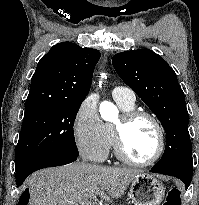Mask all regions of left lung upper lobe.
<instances>
[{
  "label": "left lung upper lobe",
  "mask_w": 199,
  "mask_h": 205,
  "mask_svg": "<svg viewBox=\"0 0 199 205\" xmlns=\"http://www.w3.org/2000/svg\"><path fill=\"white\" fill-rule=\"evenodd\" d=\"M120 78L131 87L160 120L167 145L155 169H172L192 177L193 159L189 116L176 73L149 49L131 50L113 56Z\"/></svg>",
  "instance_id": "5c2ea615"
}]
</instances>
